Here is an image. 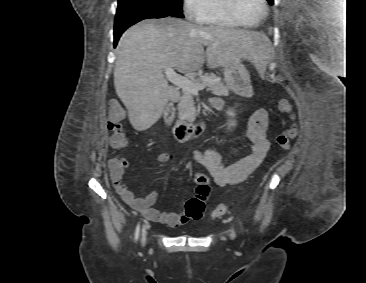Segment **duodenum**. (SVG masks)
I'll return each instance as SVG.
<instances>
[{
    "instance_id": "duodenum-1",
    "label": "duodenum",
    "mask_w": 366,
    "mask_h": 283,
    "mask_svg": "<svg viewBox=\"0 0 366 283\" xmlns=\"http://www.w3.org/2000/svg\"><path fill=\"white\" fill-rule=\"evenodd\" d=\"M165 120L172 125L174 137L180 142H186L201 134L205 129V122L187 121L175 119L173 107H168L165 112Z\"/></svg>"
}]
</instances>
